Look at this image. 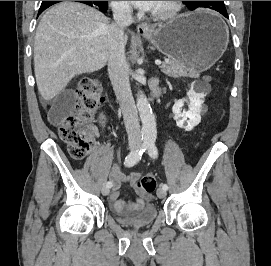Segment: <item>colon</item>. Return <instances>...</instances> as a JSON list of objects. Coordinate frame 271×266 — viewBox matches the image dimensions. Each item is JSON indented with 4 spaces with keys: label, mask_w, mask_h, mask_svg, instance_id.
<instances>
[{
    "label": "colon",
    "mask_w": 271,
    "mask_h": 266,
    "mask_svg": "<svg viewBox=\"0 0 271 266\" xmlns=\"http://www.w3.org/2000/svg\"><path fill=\"white\" fill-rule=\"evenodd\" d=\"M77 101L73 110L61 122L60 135L67 143L68 151L74 158L85 157L94 146L91 122L97 110L104 103L102 85L94 77L81 79L77 88ZM156 188L152 174L142 176L137 182V189L151 194Z\"/></svg>",
    "instance_id": "colon-1"
}]
</instances>
